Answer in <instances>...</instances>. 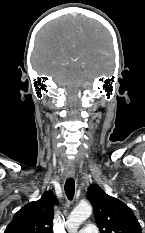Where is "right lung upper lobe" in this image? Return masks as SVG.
Here are the masks:
<instances>
[{
	"instance_id": "obj_1",
	"label": "right lung upper lobe",
	"mask_w": 145,
	"mask_h": 233,
	"mask_svg": "<svg viewBox=\"0 0 145 233\" xmlns=\"http://www.w3.org/2000/svg\"><path fill=\"white\" fill-rule=\"evenodd\" d=\"M51 191L45 192L38 201L25 205L14 214L4 233H53V204Z\"/></svg>"
}]
</instances>
